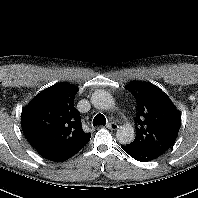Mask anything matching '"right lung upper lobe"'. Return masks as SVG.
<instances>
[{
	"label": "right lung upper lobe",
	"instance_id": "right-lung-upper-lobe-1",
	"mask_svg": "<svg viewBox=\"0 0 198 198\" xmlns=\"http://www.w3.org/2000/svg\"><path fill=\"white\" fill-rule=\"evenodd\" d=\"M78 89L58 83L41 91L21 114L23 133L37 151H58L84 144L91 134L85 133L81 117L74 107Z\"/></svg>",
	"mask_w": 198,
	"mask_h": 198
}]
</instances>
